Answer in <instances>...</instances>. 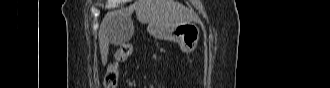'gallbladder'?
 I'll list each match as a JSON object with an SVG mask.
<instances>
[{"label":"gallbladder","mask_w":330,"mask_h":88,"mask_svg":"<svg viewBox=\"0 0 330 88\" xmlns=\"http://www.w3.org/2000/svg\"><path fill=\"white\" fill-rule=\"evenodd\" d=\"M134 32V27L132 22L126 20L118 21L114 24V33L116 36L115 43L113 44H123L132 38Z\"/></svg>","instance_id":"gallbladder-1"}]
</instances>
